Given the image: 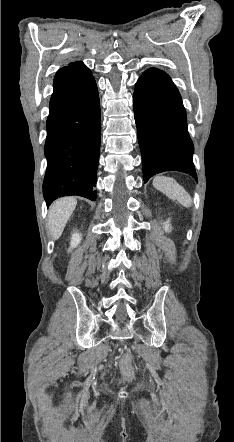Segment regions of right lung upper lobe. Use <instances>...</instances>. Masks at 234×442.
Masks as SVG:
<instances>
[{"label":"right lung upper lobe","instance_id":"1","mask_svg":"<svg viewBox=\"0 0 234 442\" xmlns=\"http://www.w3.org/2000/svg\"><path fill=\"white\" fill-rule=\"evenodd\" d=\"M82 62H75V63H69L67 66H65V67H63V68H66V67H69V66H73V65H77V64H81ZM62 69V68H61Z\"/></svg>","mask_w":234,"mask_h":442}]
</instances>
